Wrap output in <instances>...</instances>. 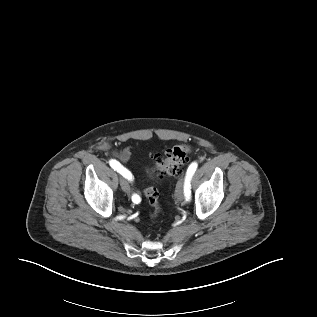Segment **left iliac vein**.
<instances>
[{
	"label": "left iliac vein",
	"instance_id": "obj_1",
	"mask_svg": "<svg viewBox=\"0 0 317 317\" xmlns=\"http://www.w3.org/2000/svg\"><path fill=\"white\" fill-rule=\"evenodd\" d=\"M185 182H186V177L184 176H182L180 179H179V181H178V183H177V186H176V191H175V196H176V199L178 200V201H183V199H184V193H185Z\"/></svg>",
	"mask_w": 317,
	"mask_h": 317
}]
</instances>
